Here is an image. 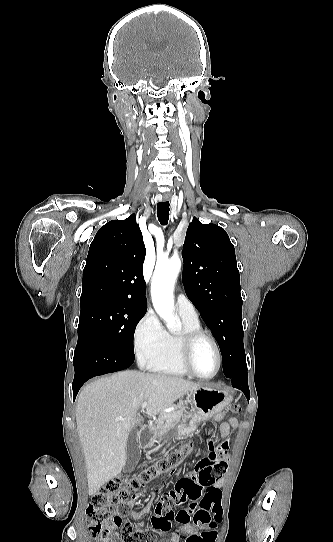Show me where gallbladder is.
I'll list each match as a JSON object with an SVG mask.
<instances>
[{"label": "gallbladder", "mask_w": 333, "mask_h": 542, "mask_svg": "<svg viewBox=\"0 0 333 542\" xmlns=\"http://www.w3.org/2000/svg\"><path fill=\"white\" fill-rule=\"evenodd\" d=\"M141 458V448L137 440V430H131L126 446V464L123 472H132Z\"/></svg>", "instance_id": "bac80fb5"}]
</instances>
